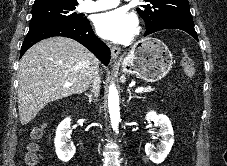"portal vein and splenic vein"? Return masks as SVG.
<instances>
[{
    "instance_id": "1",
    "label": "portal vein and splenic vein",
    "mask_w": 227,
    "mask_h": 166,
    "mask_svg": "<svg viewBox=\"0 0 227 166\" xmlns=\"http://www.w3.org/2000/svg\"><path fill=\"white\" fill-rule=\"evenodd\" d=\"M71 85H72V84L69 83V82L65 83V86H71ZM145 91H146V88H144V87H139V88H137V89L135 90L136 93H142V92H145Z\"/></svg>"
}]
</instances>
